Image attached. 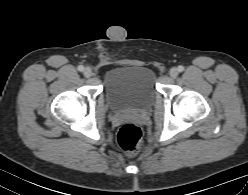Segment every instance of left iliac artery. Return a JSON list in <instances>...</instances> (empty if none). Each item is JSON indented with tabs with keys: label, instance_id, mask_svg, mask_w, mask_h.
Listing matches in <instances>:
<instances>
[{
	"label": "left iliac artery",
	"instance_id": "left-iliac-artery-1",
	"mask_svg": "<svg viewBox=\"0 0 248 195\" xmlns=\"http://www.w3.org/2000/svg\"><path fill=\"white\" fill-rule=\"evenodd\" d=\"M183 70H184V67H183V66H181V65L178 66V71H179V72H182Z\"/></svg>",
	"mask_w": 248,
	"mask_h": 195
}]
</instances>
